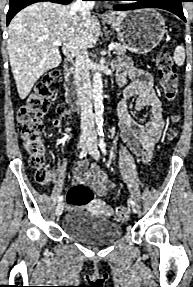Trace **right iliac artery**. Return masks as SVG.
Returning a JSON list of instances; mask_svg holds the SVG:
<instances>
[{
    "label": "right iliac artery",
    "instance_id": "1",
    "mask_svg": "<svg viewBox=\"0 0 193 287\" xmlns=\"http://www.w3.org/2000/svg\"><path fill=\"white\" fill-rule=\"evenodd\" d=\"M87 155V151L86 150H82L79 154V158L80 159H84ZM63 201V196H60L58 199V203H61Z\"/></svg>",
    "mask_w": 193,
    "mask_h": 287
}]
</instances>
